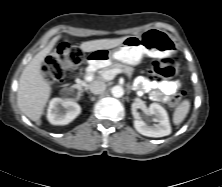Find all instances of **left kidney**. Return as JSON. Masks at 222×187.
<instances>
[{
  "mask_svg": "<svg viewBox=\"0 0 222 187\" xmlns=\"http://www.w3.org/2000/svg\"><path fill=\"white\" fill-rule=\"evenodd\" d=\"M148 112L150 115L155 116L158 124L149 126L140 117L134 119L135 129L142 135L148 137H163L171 133V126L169 123V117L166 110L157 103H152L149 106Z\"/></svg>",
  "mask_w": 222,
  "mask_h": 187,
  "instance_id": "obj_1",
  "label": "left kidney"
}]
</instances>
